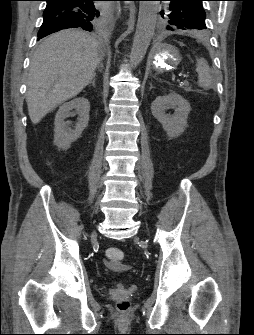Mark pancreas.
Masks as SVG:
<instances>
[{
	"label": "pancreas",
	"mask_w": 254,
	"mask_h": 335,
	"mask_svg": "<svg viewBox=\"0 0 254 335\" xmlns=\"http://www.w3.org/2000/svg\"><path fill=\"white\" fill-rule=\"evenodd\" d=\"M182 87L186 90V91H191V86H189L188 82L183 83Z\"/></svg>",
	"instance_id": "1"
}]
</instances>
